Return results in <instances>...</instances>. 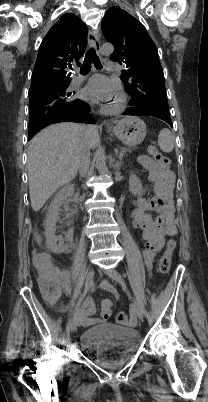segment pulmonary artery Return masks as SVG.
<instances>
[{
  "label": "pulmonary artery",
  "mask_w": 208,
  "mask_h": 402,
  "mask_svg": "<svg viewBox=\"0 0 208 402\" xmlns=\"http://www.w3.org/2000/svg\"><path fill=\"white\" fill-rule=\"evenodd\" d=\"M117 62L115 60H106L105 66L107 71H114L116 69ZM76 75L81 76L83 73H87V70H83V68L78 67L75 70Z\"/></svg>",
  "instance_id": "pulmonary-artery-1"
}]
</instances>
